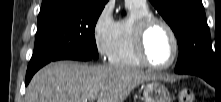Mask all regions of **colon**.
Segmentation results:
<instances>
[{"instance_id":"1","label":"colon","mask_w":221,"mask_h":102,"mask_svg":"<svg viewBox=\"0 0 221 102\" xmlns=\"http://www.w3.org/2000/svg\"><path fill=\"white\" fill-rule=\"evenodd\" d=\"M179 102H194V94L190 89H183L179 94Z\"/></svg>"}]
</instances>
